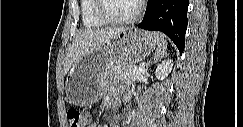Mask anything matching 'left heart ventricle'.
Here are the masks:
<instances>
[{
    "label": "left heart ventricle",
    "instance_id": "1",
    "mask_svg": "<svg viewBox=\"0 0 243 127\" xmlns=\"http://www.w3.org/2000/svg\"><path fill=\"white\" fill-rule=\"evenodd\" d=\"M105 11L114 18H125L132 15L136 0H104Z\"/></svg>",
    "mask_w": 243,
    "mask_h": 127
}]
</instances>
